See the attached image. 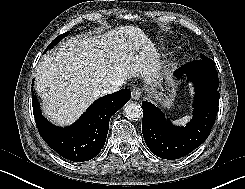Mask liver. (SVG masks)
Instances as JSON below:
<instances>
[{
  "instance_id": "1",
  "label": "liver",
  "mask_w": 245,
  "mask_h": 189,
  "mask_svg": "<svg viewBox=\"0 0 245 189\" xmlns=\"http://www.w3.org/2000/svg\"><path fill=\"white\" fill-rule=\"evenodd\" d=\"M161 69L153 42L136 26L62 42L37 66L35 90L42 111L61 126L73 123L113 83L142 77L151 85Z\"/></svg>"
}]
</instances>
